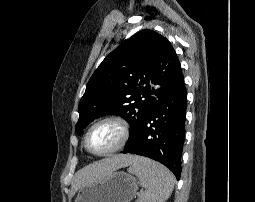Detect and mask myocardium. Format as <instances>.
<instances>
[{
	"mask_svg": "<svg viewBox=\"0 0 255 202\" xmlns=\"http://www.w3.org/2000/svg\"><path fill=\"white\" fill-rule=\"evenodd\" d=\"M103 124H113L118 128L120 134L119 141L113 148L109 149L108 151L94 152L89 148L88 138L95 128ZM130 133H131L130 125L126 119L118 115L107 116L99 119L89 127L84 137V147L89 153L95 156H108L121 150L127 144L130 138Z\"/></svg>",
	"mask_w": 255,
	"mask_h": 202,
	"instance_id": "f54148a6",
	"label": "myocardium"
}]
</instances>
